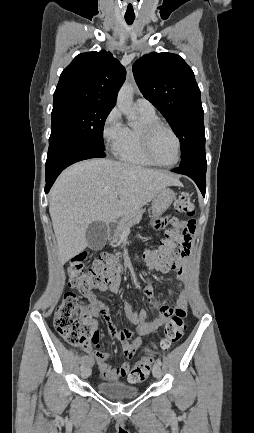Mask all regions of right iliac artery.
Masks as SVG:
<instances>
[{
	"label": "right iliac artery",
	"instance_id": "obj_1",
	"mask_svg": "<svg viewBox=\"0 0 254 433\" xmlns=\"http://www.w3.org/2000/svg\"><path fill=\"white\" fill-rule=\"evenodd\" d=\"M80 368H81V370H83L85 368V365L82 364Z\"/></svg>",
	"mask_w": 254,
	"mask_h": 433
}]
</instances>
